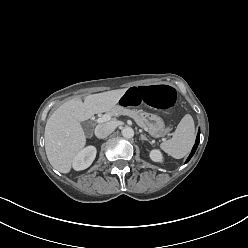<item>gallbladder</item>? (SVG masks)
Returning a JSON list of instances; mask_svg holds the SVG:
<instances>
[{
    "label": "gallbladder",
    "mask_w": 248,
    "mask_h": 248,
    "mask_svg": "<svg viewBox=\"0 0 248 248\" xmlns=\"http://www.w3.org/2000/svg\"><path fill=\"white\" fill-rule=\"evenodd\" d=\"M82 127L87 131L89 129V123L88 122H83Z\"/></svg>",
    "instance_id": "bac80fb5"
}]
</instances>
